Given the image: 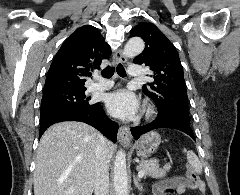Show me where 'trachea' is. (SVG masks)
I'll return each instance as SVG.
<instances>
[{
    "mask_svg": "<svg viewBox=\"0 0 240 195\" xmlns=\"http://www.w3.org/2000/svg\"><path fill=\"white\" fill-rule=\"evenodd\" d=\"M116 71H117L118 75H120V77L126 76V71H125L123 65H121V63H119V65H117ZM114 72H115V67L108 66V67L104 68V70H102L101 75L104 78H111L113 76Z\"/></svg>",
    "mask_w": 240,
    "mask_h": 195,
    "instance_id": "3493384b",
    "label": "trachea"
}]
</instances>
